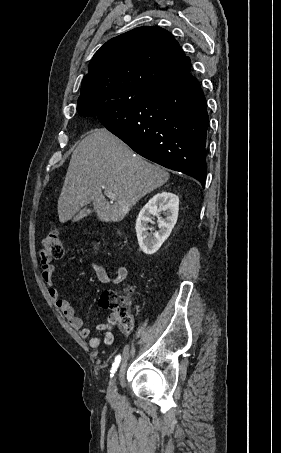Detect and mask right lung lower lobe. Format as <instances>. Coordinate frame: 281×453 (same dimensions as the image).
Segmentation results:
<instances>
[{"instance_id": "98d812e1", "label": "right lung lower lobe", "mask_w": 281, "mask_h": 453, "mask_svg": "<svg viewBox=\"0 0 281 453\" xmlns=\"http://www.w3.org/2000/svg\"><path fill=\"white\" fill-rule=\"evenodd\" d=\"M106 129L141 156L205 185L207 103L191 73L159 84L129 101L94 106Z\"/></svg>"}]
</instances>
